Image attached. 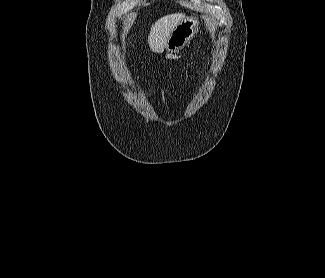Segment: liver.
I'll use <instances>...</instances> for the list:
<instances>
[{
  "label": "liver",
  "mask_w": 325,
  "mask_h": 278,
  "mask_svg": "<svg viewBox=\"0 0 325 278\" xmlns=\"http://www.w3.org/2000/svg\"><path fill=\"white\" fill-rule=\"evenodd\" d=\"M184 17L183 13L166 15L151 26L148 44L153 52L160 53L163 51L173 29Z\"/></svg>",
  "instance_id": "1"
}]
</instances>
